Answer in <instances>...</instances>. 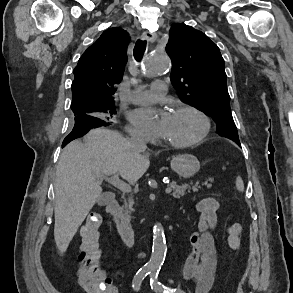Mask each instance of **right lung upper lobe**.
Instances as JSON below:
<instances>
[{
	"mask_svg": "<svg viewBox=\"0 0 293 293\" xmlns=\"http://www.w3.org/2000/svg\"><path fill=\"white\" fill-rule=\"evenodd\" d=\"M129 41L127 31L109 28L83 53L74 69L72 83L71 109L75 116H95L93 107L114 103L116 84L122 80L127 62Z\"/></svg>",
	"mask_w": 293,
	"mask_h": 293,
	"instance_id": "1",
	"label": "right lung upper lobe"
}]
</instances>
